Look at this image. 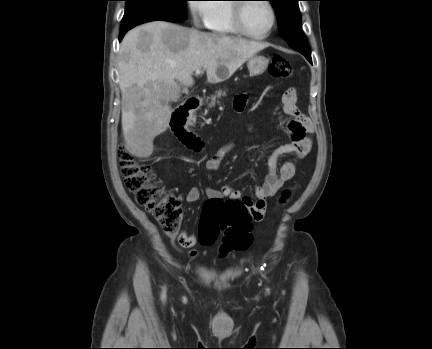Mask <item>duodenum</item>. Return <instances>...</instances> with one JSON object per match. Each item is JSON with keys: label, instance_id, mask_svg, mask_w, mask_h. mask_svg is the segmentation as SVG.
<instances>
[{"label": "duodenum", "instance_id": "410a0bca", "mask_svg": "<svg viewBox=\"0 0 432 349\" xmlns=\"http://www.w3.org/2000/svg\"><path fill=\"white\" fill-rule=\"evenodd\" d=\"M200 104V97L186 100L172 114L170 122V127L174 135L181 141V143L192 150H200L202 148V142L200 139L189 129L190 118Z\"/></svg>", "mask_w": 432, "mask_h": 349}]
</instances>
